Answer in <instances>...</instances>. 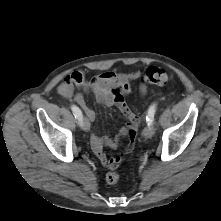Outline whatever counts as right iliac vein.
<instances>
[{
	"instance_id": "right-iliac-vein-1",
	"label": "right iliac vein",
	"mask_w": 221,
	"mask_h": 221,
	"mask_svg": "<svg viewBox=\"0 0 221 221\" xmlns=\"http://www.w3.org/2000/svg\"><path fill=\"white\" fill-rule=\"evenodd\" d=\"M82 128L85 130V131H89L90 130V122L89 120L87 119V117H82L81 119V122H80Z\"/></svg>"
}]
</instances>
